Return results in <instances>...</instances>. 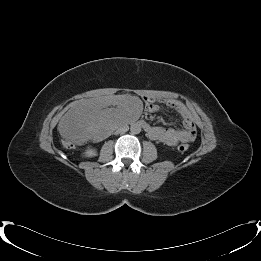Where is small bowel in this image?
Returning <instances> with one entry per match:
<instances>
[{
	"label": "small bowel",
	"instance_id": "obj_1",
	"mask_svg": "<svg viewBox=\"0 0 261 261\" xmlns=\"http://www.w3.org/2000/svg\"><path fill=\"white\" fill-rule=\"evenodd\" d=\"M147 106L149 111H157L161 105L166 109L175 111L182 118L183 130H177L171 127H161V126H150L151 130L148 132L149 137L154 140H158L166 143L170 146H175L180 142H191L196 138V124L191 113L188 109L180 102L174 100H160L151 98L147 100ZM157 102L158 104H155Z\"/></svg>",
	"mask_w": 261,
	"mask_h": 261
}]
</instances>
